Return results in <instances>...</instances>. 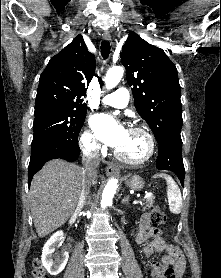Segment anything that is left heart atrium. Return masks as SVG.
Masks as SVG:
<instances>
[{
  "instance_id": "left-heart-atrium-1",
  "label": "left heart atrium",
  "mask_w": 221,
  "mask_h": 278,
  "mask_svg": "<svg viewBox=\"0 0 221 278\" xmlns=\"http://www.w3.org/2000/svg\"><path fill=\"white\" fill-rule=\"evenodd\" d=\"M97 136L107 145L119 148L125 141L127 130L107 114H98L92 119Z\"/></svg>"
}]
</instances>
